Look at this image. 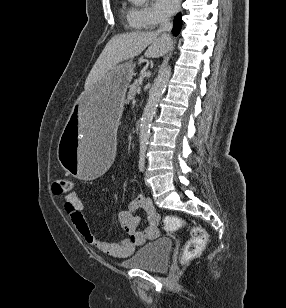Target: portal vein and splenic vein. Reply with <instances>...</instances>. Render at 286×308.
Here are the masks:
<instances>
[{
	"label": "portal vein and splenic vein",
	"mask_w": 286,
	"mask_h": 308,
	"mask_svg": "<svg viewBox=\"0 0 286 308\" xmlns=\"http://www.w3.org/2000/svg\"><path fill=\"white\" fill-rule=\"evenodd\" d=\"M137 92L140 93V87L137 88Z\"/></svg>",
	"instance_id": "obj_1"
}]
</instances>
